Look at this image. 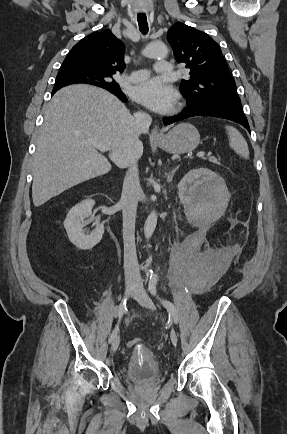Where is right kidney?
<instances>
[{
    "instance_id": "1",
    "label": "right kidney",
    "mask_w": 287,
    "mask_h": 434,
    "mask_svg": "<svg viewBox=\"0 0 287 434\" xmlns=\"http://www.w3.org/2000/svg\"><path fill=\"white\" fill-rule=\"evenodd\" d=\"M94 205L95 201L92 199L78 203L71 208L64 221V227L69 240L81 250L92 249L100 242L104 233V226L98 220L94 222L95 228L89 234L86 233L84 229L86 218L89 217L91 220H94L92 216V208Z\"/></svg>"
}]
</instances>
